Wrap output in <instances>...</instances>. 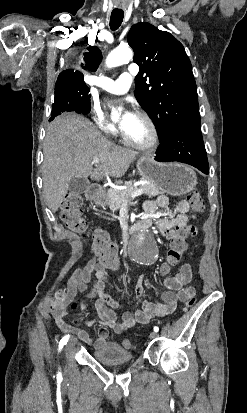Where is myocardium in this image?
Instances as JSON below:
<instances>
[{
  "label": "myocardium",
  "instance_id": "f54148a6",
  "mask_svg": "<svg viewBox=\"0 0 247 413\" xmlns=\"http://www.w3.org/2000/svg\"><path fill=\"white\" fill-rule=\"evenodd\" d=\"M141 118L145 120L150 128L153 131V138L150 142L148 143H141L132 140L129 138L125 133H122V138L124 143L134 149L140 150V151H148L151 149L156 148L160 142H161V132L158 126L155 124L154 120L147 114V113H141Z\"/></svg>",
  "mask_w": 247,
  "mask_h": 413
}]
</instances>
